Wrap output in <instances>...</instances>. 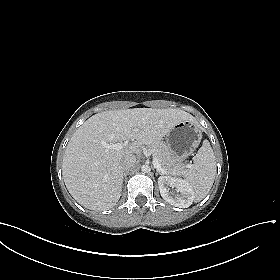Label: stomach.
<instances>
[{
    "mask_svg": "<svg viewBox=\"0 0 280 280\" xmlns=\"http://www.w3.org/2000/svg\"><path fill=\"white\" fill-rule=\"evenodd\" d=\"M202 139V132L192 121L186 120L176 124L166 135V144L175 157L183 159L191 155Z\"/></svg>",
    "mask_w": 280,
    "mask_h": 280,
    "instance_id": "0dacf381",
    "label": "stomach"
}]
</instances>
